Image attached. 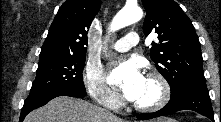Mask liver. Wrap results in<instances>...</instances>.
I'll use <instances>...</instances> for the list:
<instances>
[{"label":"liver","mask_w":221,"mask_h":122,"mask_svg":"<svg viewBox=\"0 0 221 122\" xmlns=\"http://www.w3.org/2000/svg\"><path fill=\"white\" fill-rule=\"evenodd\" d=\"M24 122H125L84 100L60 96L29 113Z\"/></svg>","instance_id":"obj_1"}]
</instances>
